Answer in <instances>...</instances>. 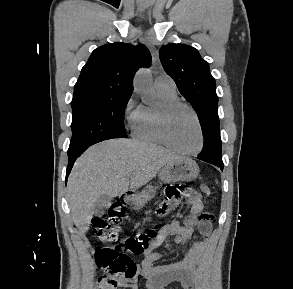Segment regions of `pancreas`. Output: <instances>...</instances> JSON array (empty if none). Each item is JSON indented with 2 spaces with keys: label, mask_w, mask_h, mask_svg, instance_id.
I'll use <instances>...</instances> for the list:
<instances>
[{
  "label": "pancreas",
  "mask_w": 293,
  "mask_h": 289,
  "mask_svg": "<svg viewBox=\"0 0 293 289\" xmlns=\"http://www.w3.org/2000/svg\"><path fill=\"white\" fill-rule=\"evenodd\" d=\"M149 198H150V195L147 194L146 192H142V194L137 196V199L139 200L141 205H144L147 202V200H149Z\"/></svg>",
  "instance_id": "pancreas-1"
}]
</instances>
